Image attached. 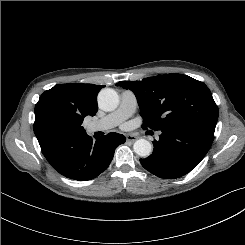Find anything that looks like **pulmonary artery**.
<instances>
[{
    "label": "pulmonary artery",
    "mask_w": 245,
    "mask_h": 245,
    "mask_svg": "<svg viewBox=\"0 0 245 245\" xmlns=\"http://www.w3.org/2000/svg\"><path fill=\"white\" fill-rule=\"evenodd\" d=\"M137 99L133 92L123 91L120 98L119 107L106 116L94 120L88 124V131H105L112 129L130 117L136 110Z\"/></svg>",
    "instance_id": "e3ab8cb5"
}]
</instances>
